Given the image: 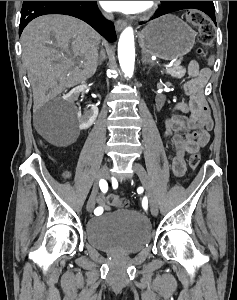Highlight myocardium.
Listing matches in <instances>:
<instances>
[{
	"label": "myocardium",
	"mask_w": 237,
	"mask_h": 300,
	"mask_svg": "<svg viewBox=\"0 0 237 300\" xmlns=\"http://www.w3.org/2000/svg\"><path fill=\"white\" fill-rule=\"evenodd\" d=\"M157 8L158 1H146L139 14V19L143 21L150 19L155 14Z\"/></svg>",
	"instance_id": "obj_1"
}]
</instances>
